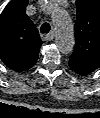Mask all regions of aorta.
I'll list each match as a JSON object with an SVG mask.
<instances>
[{
  "mask_svg": "<svg viewBox=\"0 0 100 118\" xmlns=\"http://www.w3.org/2000/svg\"><path fill=\"white\" fill-rule=\"evenodd\" d=\"M51 18L56 29L55 42L59 51L62 54H70L75 41L73 24L68 13L57 5H52Z\"/></svg>",
  "mask_w": 100,
  "mask_h": 118,
  "instance_id": "762f6f07",
  "label": "aorta"
}]
</instances>
